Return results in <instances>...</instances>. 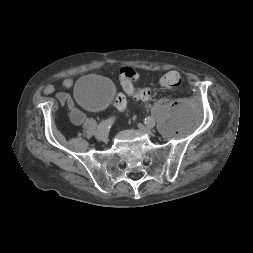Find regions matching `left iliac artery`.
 <instances>
[{
	"mask_svg": "<svg viewBox=\"0 0 253 253\" xmlns=\"http://www.w3.org/2000/svg\"><path fill=\"white\" fill-rule=\"evenodd\" d=\"M145 124L153 127L155 125V119L153 117H146Z\"/></svg>",
	"mask_w": 253,
	"mask_h": 253,
	"instance_id": "left-iliac-artery-1",
	"label": "left iliac artery"
}]
</instances>
